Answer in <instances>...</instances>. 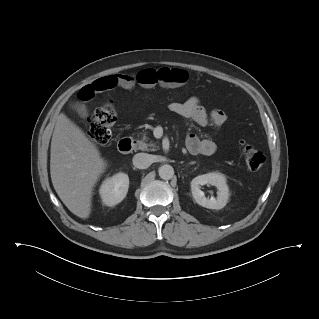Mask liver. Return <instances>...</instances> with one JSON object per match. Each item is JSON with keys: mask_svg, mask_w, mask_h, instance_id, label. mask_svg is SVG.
Here are the masks:
<instances>
[{"mask_svg": "<svg viewBox=\"0 0 319 319\" xmlns=\"http://www.w3.org/2000/svg\"><path fill=\"white\" fill-rule=\"evenodd\" d=\"M105 168L96 145L60 114L51 140L50 174L56 193L74 215L89 217L93 188Z\"/></svg>", "mask_w": 319, "mask_h": 319, "instance_id": "obj_1", "label": "liver"}]
</instances>
